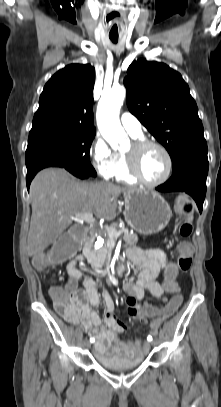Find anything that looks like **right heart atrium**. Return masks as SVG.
I'll use <instances>...</instances> for the list:
<instances>
[{
  "label": "right heart atrium",
  "mask_w": 221,
  "mask_h": 407,
  "mask_svg": "<svg viewBox=\"0 0 221 407\" xmlns=\"http://www.w3.org/2000/svg\"><path fill=\"white\" fill-rule=\"evenodd\" d=\"M90 158L93 167L104 178H112L119 165V155L114 152L107 142L96 136L90 147Z\"/></svg>",
  "instance_id": "d8ad5b80"
}]
</instances>
